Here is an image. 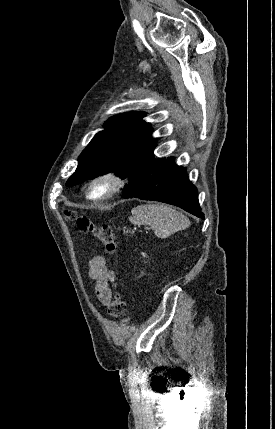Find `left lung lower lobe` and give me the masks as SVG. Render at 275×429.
Returning a JSON list of instances; mask_svg holds the SVG:
<instances>
[{"mask_svg":"<svg viewBox=\"0 0 275 429\" xmlns=\"http://www.w3.org/2000/svg\"><path fill=\"white\" fill-rule=\"evenodd\" d=\"M122 197L172 204L204 218L196 187L189 181L186 169L177 166L172 157L155 158Z\"/></svg>","mask_w":275,"mask_h":429,"instance_id":"obj_1","label":"left lung lower lobe"}]
</instances>
